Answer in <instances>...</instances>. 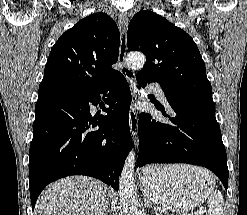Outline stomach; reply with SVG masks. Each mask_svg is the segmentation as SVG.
Masks as SVG:
<instances>
[{"label": "stomach", "instance_id": "0dacf381", "mask_svg": "<svg viewBox=\"0 0 247 215\" xmlns=\"http://www.w3.org/2000/svg\"><path fill=\"white\" fill-rule=\"evenodd\" d=\"M139 182L145 197L173 212L193 210L214 186L206 170L187 165L149 166Z\"/></svg>", "mask_w": 247, "mask_h": 215}]
</instances>
